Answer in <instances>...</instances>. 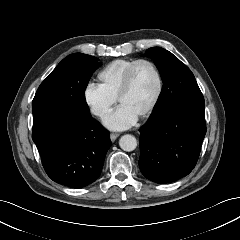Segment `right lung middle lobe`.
Here are the masks:
<instances>
[{"label":"right lung middle lobe","instance_id":"obj_1","mask_svg":"<svg viewBox=\"0 0 240 240\" xmlns=\"http://www.w3.org/2000/svg\"><path fill=\"white\" fill-rule=\"evenodd\" d=\"M98 60L83 53L64 58L39 86L32 108L58 105L90 111L84 93L93 71L101 64Z\"/></svg>","mask_w":240,"mask_h":240}]
</instances>
